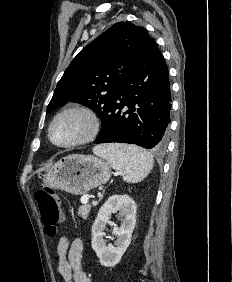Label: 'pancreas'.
Wrapping results in <instances>:
<instances>
[{"label":"pancreas","mask_w":232,"mask_h":282,"mask_svg":"<svg viewBox=\"0 0 232 282\" xmlns=\"http://www.w3.org/2000/svg\"><path fill=\"white\" fill-rule=\"evenodd\" d=\"M91 206L89 204H83L78 209V214L83 218L87 219L90 212Z\"/></svg>","instance_id":"1"}]
</instances>
